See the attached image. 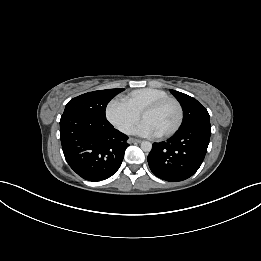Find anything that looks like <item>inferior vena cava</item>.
<instances>
[{
  "label": "inferior vena cava",
  "instance_id": "1",
  "mask_svg": "<svg viewBox=\"0 0 261 261\" xmlns=\"http://www.w3.org/2000/svg\"><path fill=\"white\" fill-rule=\"evenodd\" d=\"M134 132H135V130H134L133 127H126L124 129V133L127 134V135H132V134H134Z\"/></svg>",
  "mask_w": 261,
  "mask_h": 261
}]
</instances>
